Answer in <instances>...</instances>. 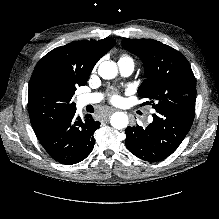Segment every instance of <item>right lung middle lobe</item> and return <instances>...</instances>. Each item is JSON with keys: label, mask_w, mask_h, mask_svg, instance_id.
I'll list each match as a JSON object with an SVG mask.
<instances>
[{"label": "right lung middle lobe", "mask_w": 219, "mask_h": 219, "mask_svg": "<svg viewBox=\"0 0 219 219\" xmlns=\"http://www.w3.org/2000/svg\"><path fill=\"white\" fill-rule=\"evenodd\" d=\"M29 87L32 89V99L28 107L30 116L54 117L76 108L75 103L71 102L75 92L65 94L42 79L31 83Z\"/></svg>", "instance_id": "dd1d6c3e"}]
</instances>
